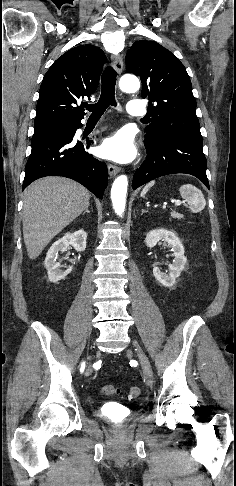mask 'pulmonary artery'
I'll return each instance as SVG.
<instances>
[{"mask_svg": "<svg viewBox=\"0 0 236 486\" xmlns=\"http://www.w3.org/2000/svg\"><path fill=\"white\" fill-rule=\"evenodd\" d=\"M127 111L132 116H143L145 114V107L138 100H131L127 105Z\"/></svg>", "mask_w": 236, "mask_h": 486, "instance_id": "obj_1", "label": "pulmonary artery"}]
</instances>
